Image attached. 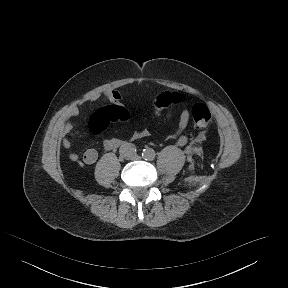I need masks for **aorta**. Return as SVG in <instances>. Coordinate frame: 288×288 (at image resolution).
<instances>
[{
	"instance_id": "obj_1",
	"label": "aorta",
	"mask_w": 288,
	"mask_h": 288,
	"mask_svg": "<svg viewBox=\"0 0 288 288\" xmlns=\"http://www.w3.org/2000/svg\"><path fill=\"white\" fill-rule=\"evenodd\" d=\"M155 157V152L153 149H146L143 151V158L146 160H153Z\"/></svg>"
}]
</instances>
